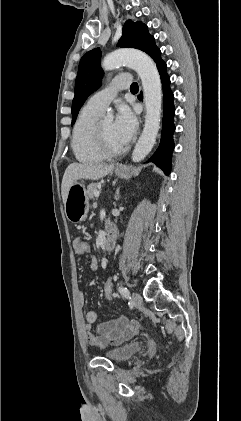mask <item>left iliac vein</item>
Masks as SVG:
<instances>
[{
	"label": "left iliac vein",
	"instance_id": "4c4485c4",
	"mask_svg": "<svg viewBox=\"0 0 241 421\" xmlns=\"http://www.w3.org/2000/svg\"><path fill=\"white\" fill-rule=\"evenodd\" d=\"M131 302L136 307L140 306L143 302L142 296L137 292H133L131 296Z\"/></svg>",
	"mask_w": 241,
	"mask_h": 421
}]
</instances>
